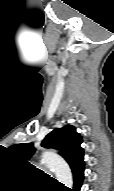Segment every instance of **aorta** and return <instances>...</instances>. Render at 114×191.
Segmentation results:
<instances>
[{"instance_id": "1", "label": "aorta", "mask_w": 114, "mask_h": 191, "mask_svg": "<svg viewBox=\"0 0 114 191\" xmlns=\"http://www.w3.org/2000/svg\"><path fill=\"white\" fill-rule=\"evenodd\" d=\"M41 160L55 173L58 182L68 188H72V172L63 158L53 152H44L41 156Z\"/></svg>"}]
</instances>
